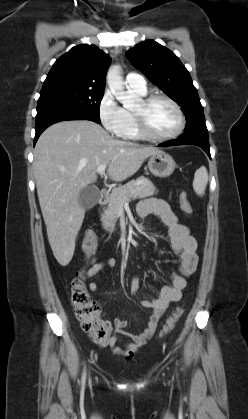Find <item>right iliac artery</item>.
<instances>
[{
  "instance_id": "right-iliac-artery-1",
  "label": "right iliac artery",
  "mask_w": 248,
  "mask_h": 419,
  "mask_svg": "<svg viewBox=\"0 0 248 419\" xmlns=\"http://www.w3.org/2000/svg\"><path fill=\"white\" fill-rule=\"evenodd\" d=\"M85 377H86V375H85V371L83 372V376H82V384H84L85 383Z\"/></svg>"
}]
</instances>
